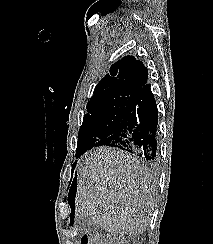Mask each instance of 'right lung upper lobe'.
<instances>
[{
    "label": "right lung upper lobe",
    "mask_w": 213,
    "mask_h": 244,
    "mask_svg": "<svg viewBox=\"0 0 213 244\" xmlns=\"http://www.w3.org/2000/svg\"><path fill=\"white\" fill-rule=\"evenodd\" d=\"M147 75L148 70L140 60L134 56H125L111 66L110 74L99 81L90 101L114 95L137 96L148 84Z\"/></svg>",
    "instance_id": "right-lung-upper-lobe-1"
}]
</instances>
